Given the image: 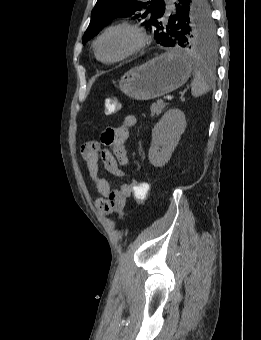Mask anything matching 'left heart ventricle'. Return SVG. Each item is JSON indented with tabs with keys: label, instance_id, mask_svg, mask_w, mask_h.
Here are the masks:
<instances>
[{
	"label": "left heart ventricle",
	"instance_id": "1",
	"mask_svg": "<svg viewBox=\"0 0 261 340\" xmlns=\"http://www.w3.org/2000/svg\"><path fill=\"white\" fill-rule=\"evenodd\" d=\"M136 41L134 32L125 28H118L108 32L101 39L98 51L103 59H112L132 49Z\"/></svg>",
	"mask_w": 261,
	"mask_h": 340
}]
</instances>
